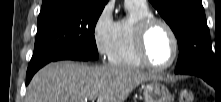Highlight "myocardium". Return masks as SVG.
Returning <instances> with one entry per match:
<instances>
[{
	"instance_id": "1",
	"label": "myocardium",
	"mask_w": 221,
	"mask_h": 102,
	"mask_svg": "<svg viewBox=\"0 0 221 102\" xmlns=\"http://www.w3.org/2000/svg\"><path fill=\"white\" fill-rule=\"evenodd\" d=\"M157 25L163 26L168 31L174 45L173 56L171 60L164 65H158L152 62L147 51L148 35L152 30V28ZM134 46L136 54L139 60L142 62V64L155 70H165L170 68L176 62L180 50L179 40L174 29L171 27V25L168 22L155 16L145 17L137 23L134 32Z\"/></svg>"
}]
</instances>
